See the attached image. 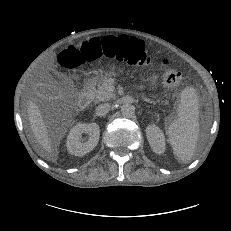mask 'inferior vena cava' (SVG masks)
<instances>
[{
	"label": "inferior vena cava",
	"instance_id": "602c4592",
	"mask_svg": "<svg viewBox=\"0 0 231 231\" xmlns=\"http://www.w3.org/2000/svg\"><path fill=\"white\" fill-rule=\"evenodd\" d=\"M111 105L109 103L100 104L96 107V115L104 116L110 111Z\"/></svg>",
	"mask_w": 231,
	"mask_h": 231
}]
</instances>
